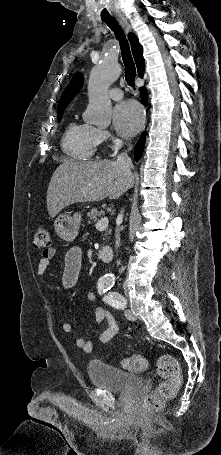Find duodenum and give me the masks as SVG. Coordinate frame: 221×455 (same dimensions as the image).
<instances>
[{
    "mask_svg": "<svg viewBox=\"0 0 221 455\" xmlns=\"http://www.w3.org/2000/svg\"><path fill=\"white\" fill-rule=\"evenodd\" d=\"M99 257L104 261V262H110L113 258V251L111 247L109 246H103L99 250Z\"/></svg>",
    "mask_w": 221,
    "mask_h": 455,
    "instance_id": "1",
    "label": "duodenum"
}]
</instances>
